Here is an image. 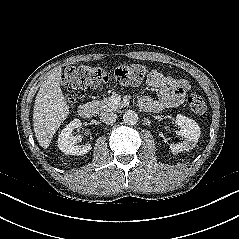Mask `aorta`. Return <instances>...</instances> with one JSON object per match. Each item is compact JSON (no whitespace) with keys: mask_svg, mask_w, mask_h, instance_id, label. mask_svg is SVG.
I'll return each mask as SVG.
<instances>
[{"mask_svg":"<svg viewBox=\"0 0 239 239\" xmlns=\"http://www.w3.org/2000/svg\"><path fill=\"white\" fill-rule=\"evenodd\" d=\"M123 121L127 125H134L138 121V114L133 110H127L123 114Z\"/></svg>","mask_w":239,"mask_h":239,"instance_id":"762f6f07","label":"aorta"}]
</instances>
